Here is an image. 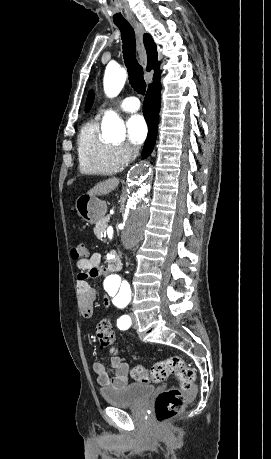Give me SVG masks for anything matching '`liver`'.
<instances>
[{
    "mask_svg": "<svg viewBox=\"0 0 271 459\" xmlns=\"http://www.w3.org/2000/svg\"><path fill=\"white\" fill-rule=\"evenodd\" d=\"M119 184L118 178H109V180H105V182H100V184H96L92 190L87 192L88 196H105V194H110L113 192L115 188H117Z\"/></svg>",
    "mask_w": 271,
    "mask_h": 459,
    "instance_id": "6515ba94",
    "label": "liver"
}]
</instances>
